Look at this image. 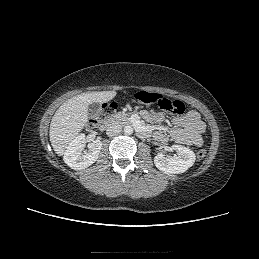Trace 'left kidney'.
I'll return each instance as SVG.
<instances>
[{"mask_svg": "<svg viewBox=\"0 0 259 259\" xmlns=\"http://www.w3.org/2000/svg\"><path fill=\"white\" fill-rule=\"evenodd\" d=\"M172 150L177 152L176 157H168L159 153L154 158L155 166L168 174H179L187 171L195 162L196 156L192 150L181 145H173Z\"/></svg>", "mask_w": 259, "mask_h": 259, "instance_id": "obj_1", "label": "left kidney"}]
</instances>
